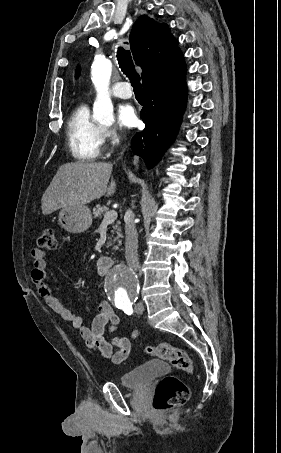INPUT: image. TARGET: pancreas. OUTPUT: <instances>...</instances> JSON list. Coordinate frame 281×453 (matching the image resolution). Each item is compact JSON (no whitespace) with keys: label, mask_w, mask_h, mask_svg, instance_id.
<instances>
[{"label":"pancreas","mask_w":281,"mask_h":453,"mask_svg":"<svg viewBox=\"0 0 281 453\" xmlns=\"http://www.w3.org/2000/svg\"><path fill=\"white\" fill-rule=\"evenodd\" d=\"M109 208L108 206H101V204H96V208H93V214L94 216H99V218H101L102 214H106V212H108ZM119 224H121L120 220H117L116 224H114L113 222V231H111L112 235H114V231L115 233H117V237H115V241H118V239H120V237H122V231H121V227H119ZM111 239V237H110ZM112 245V241H109L108 243V247H111Z\"/></svg>","instance_id":"1"}]
</instances>
